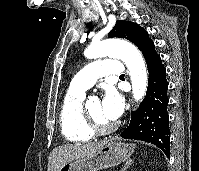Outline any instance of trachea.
Instances as JSON below:
<instances>
[{"label": "trachea", "instance_id": "obj_1", "mask_svg": "<svg viewBox=\"0 0 199 171\" xmlns=\"http://www.w3.org/2000/svg\"><path fill=\"white\" fill-rule=\"evenodd\" d=\"M120 77H124V74L120 75Z\"/></svg>", "mask_w": 199, "mask_h": 171}]
</instances>
